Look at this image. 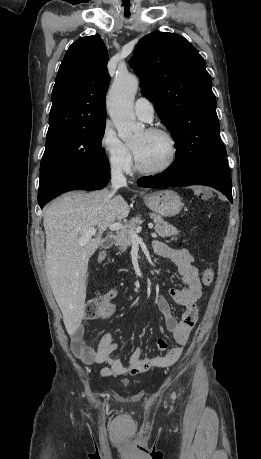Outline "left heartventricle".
<instances>
[{"mask_svg": "<svg viewBox=\"0 0 261 459\" xmlns=\"http://www.w3.org/2000/svg\"><path fill=\"white\" fill-rule=\"evenodd\" d=\"M132 150L144 168H155L164 164L169 157L168 141L160 135L139 133L131 142Z\"/></svg>", "mask_w": 261, "mask_h": 459, "instance_id": "left-heart-ventricle-1", "label": "left heart ventricle"}]
</instances>
